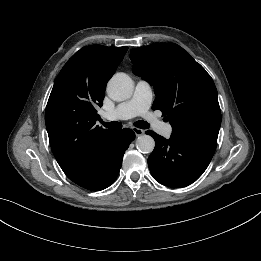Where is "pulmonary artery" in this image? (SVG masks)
Masks as SVG:
<instances>
[{
  "mask_svg": "<svg viewBox=\"0 0 261 261\" xmlns=\"http://www.w3.org/2000/svg\"><path fill=\"white\" fill-rule=\"evenodd\" d=\"M153 101L152 86L140 79L135 86L133 95L127 101L118 104L114 109L105 112L103 117L109 121L126 120L136 116L145 117L153 125L154 129L163 136H170L172 127L158 120L149 109Z\"/></svg>",
  "mask_w": 261,
  "mask_h": 261,
  "instance_id": "obj_1",
  "label": "pulmonary artery"
}]
</instances>
